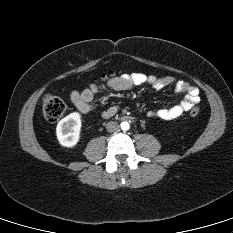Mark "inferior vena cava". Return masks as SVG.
<instances>
[{
    "instance_id": "602c4592",
    "label": "inferior vena cava",
    "mask_w": 233,
    "mask_h": 233,
    "mask_svg": "<svg viewBox=\"0 0 233 233\" xmlns=\"http://www.w3.org/2000/svg\"><path fill=\"white\" fill-rule=\"evenodd\" d=\"M119 128V124L115 121H110L106 124V130L110 133L118 131Z\"/></svg>"
}]
</instances>
